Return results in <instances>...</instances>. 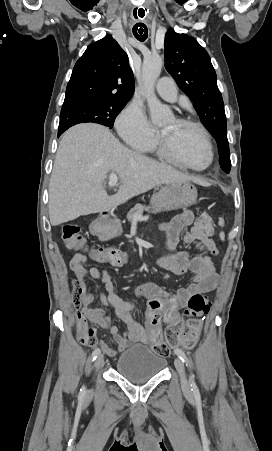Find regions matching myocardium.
Wrapping results in <instances>:
<instances>
[{"label":"myocardium","instance_id":"myocardium-1","mask_svg":"<svg viewBox=\"0 0 272 451\" xmlns=\"http://www.w3.org/2000/svg\"><path fill=\"white\" fill-rule=\"evenodd\" d=\"M174 120L177 121L180 124H183V125L195 128L199 132V134L201 135L202 140H203V142H204V144H205V146H206V148H207V150L209 152V156H210L209 163L204 169H195V168H192V167L186 165L183 162L179 166L182 169H184V170H186L188 172H194V173L205 172V171L211 169L212 166L214 165V162H215V152H214L213 145H212V143H211V141H210V139L208 137V134H207L205 128L201 124H199L197 122H194L192 120L186 119V118L174 117ZM160 135H161L162 150H163L164 153H167L169 145H168L167 140H166V134H165V132L163 130H161V134ZM172 161L177 163V162H179V158L177 156H174V158H172Z\"/></svg>","mask_w":272,"mask_h":451}]
</instances>
